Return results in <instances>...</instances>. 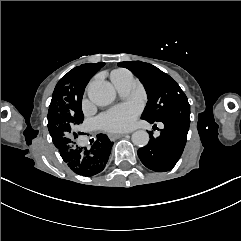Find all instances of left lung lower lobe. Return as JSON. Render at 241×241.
Listing matches in <instances>:
<instances>
[{"label":"left lung lower lobe","instance_id":"0a47b994","mask_svg":"<svg viewBox=\"0 0 241 241\" xmlns=\"http://www.w3.org/2000/svg\"><path fill=\"white\" fill-rule=\"evenodd\" d=\"M190 109L165 117L160 136L154 138L150 132L149 143L138 150L141 162L156 172L171 170L181 157L190 125ZM151 124L155 122H149Z\"/></svg>","mask_w":241,"mask_h":241}]
</instances>
